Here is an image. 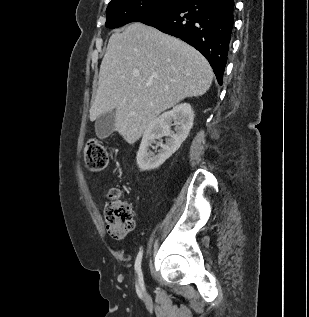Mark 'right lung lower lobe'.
Here are the masks:
<instances>
[{
	"instance_id": "98d812e1",
	"label": "right lung lower lobe",
	"mask_w": 309,
	"mask_h": 317,
	"mask_svg": "<svg viewBox=\"0 0 309 317\" xmlns=\"http://www.w3.org/2000/svg\"><path fill=\"white\" fill-rule=\"evenodd\" d=\"M199 50L222 84L233 34L234 0H186L135 19Z\"/></svg>"
}]
</instances>
